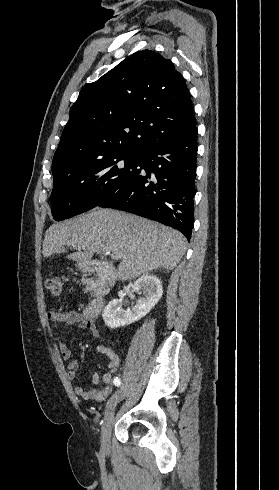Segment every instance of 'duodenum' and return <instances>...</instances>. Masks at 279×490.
I'll return each mask as SVG.
<instances>
[{
  "label": "duodenum",
  "instance_id": "1",
  "mask_svg": "<svg viewBox=\"0 0 279 490\" xmlns=\"http://www.w3.org/2000/svg\"><path fill=\"white\" fill-rule=\"evenodd\" d=\"M83 269L87 272L97 274L102 282L100 293L88 302L83 312L87 319H94L103 308L105 296L109 287L116 281V273L114 267L109 262L99 260H89L84 262Z\"/></svg>",
  "mask_w": 279,
  "mask_h": 490
}]
</instances>
